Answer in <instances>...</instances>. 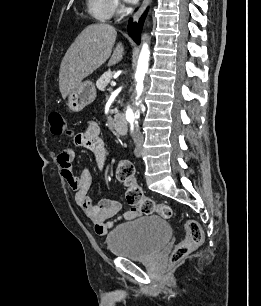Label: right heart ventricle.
Segmentation results:
<instances>
[{
  "label": "right heart ventricle",
  "mask_w": 261,
  "mask_h": 306,
  "mask_svg": "<svg viewBox=\"0 0 261 306\" xmlns=\"http://www.w3.org/2000/svg\"><path fill=\"white\" fill-rule=\"evenodd\" d=\"M89 12L98 20L106 21L111 17L110 0H87Z\"/></svg>",
  "instance_id": "obj_1"
}]
</instances>
